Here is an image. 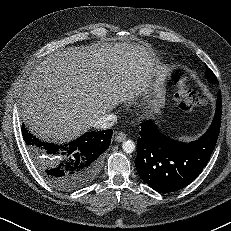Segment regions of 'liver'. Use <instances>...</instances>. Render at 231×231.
Segmentation results:
<instances>
[{"instance_id": "1", "label": "liver", "mask_w": 231, "mask_h": 231, "mask_svg": "<svg viewBox=\"0 0 231 231\" xmlns=\"http://www.w3.org/2000/svg\"><path fill=\"white\" fill-rule=\"evenodd\" d=\"M164 65L147 45L128 42L69 47L35 66L22 88V117L40 138L64 143L136 96L159 112ZM150 96L155 99L150 100Z\"/></svg>"}]
</instances>
